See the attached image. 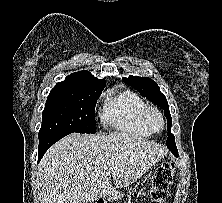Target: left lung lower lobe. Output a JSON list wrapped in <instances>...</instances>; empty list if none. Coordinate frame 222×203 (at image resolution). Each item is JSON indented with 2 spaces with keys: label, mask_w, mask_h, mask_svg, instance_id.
<instances>
[{
  "label": "left lung lower lobe",
  "mask_w": 222,
  "mask_h": 203,
  "mask_svg": "<svg viewBox=\"0 0 222 203\" xmlns=\"http://www.w3.org/2000/svg\"><path fill=\"white\" fill-rule=\"evenodd\" d=\"M175 156H178V150L176 147H170L168 148Z\"/></svg>",
  "instance_id": "0a47b994"
}]
</instances>
